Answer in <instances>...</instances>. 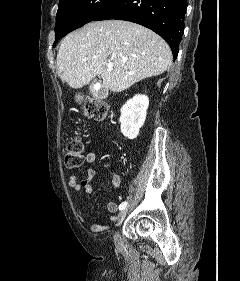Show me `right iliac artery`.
<instances>
[{
	"mask_svg": "<svg viewBox=\"0 0 240 281\" xmlns=\"http://www.w3.org/2000/svg\"><path fill=\"white\" fill-rule=\"evenodd\" d=\"M127 204H128V202H127V201H125V202H123L122 204H120V206H119V210H123V209H125V208H126V206H127Z\"/></svg>",
	"mask_w": 240,
	"mask_h": 281,
	"instance_id": "right-iliac-artery-1",
	"label": "right iliac artery"
}]
</instances>
